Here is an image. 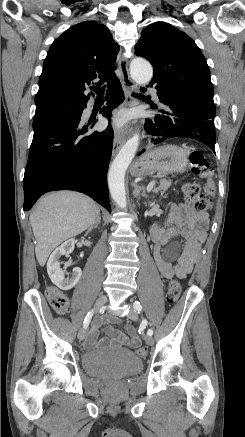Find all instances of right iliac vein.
Masks as SVG:
<instances>
[{"label":"right iliac vein","mask_w":245,"mask_h":437,"mask_svg":"<svg viewBox=\"0 0 245 437\" xmlns=\"http://www.w3.org/2000/svg\"><path fill=\"white\" fill-rule=\"evenodd\" d=\"M107 300H108V298L106 295L100 296L96 300L95 309L98 310L99 308H101L107 302ZM85 334H86L85 328H81L78 332V338L80 341L85 338Z\"/></svg>","instance_id":"1"}]
</instances>
